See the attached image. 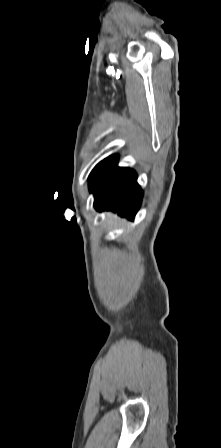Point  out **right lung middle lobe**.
I'll use <instances>...</instances> for the list:
<instances>
[{
  "mask_svg": "<svg viewBox=\"0 0 221 448\" xmlns=\"http://www.w3.org/2000/svg\"><path fill=\"white\" fill-rule=\"evenodd\" d=\"M102 162H100L94 169H93V171L91 172V174H90V176L89 177H91L92 176V174L94 173V171L98 168V166L101 164Z\"/></svg>",
  "mask_w": 221,
  "mask_h": 448,
  "instance_id": "dd1d6c3e",
  "label": "right lung middle lobe"
}]
</instances>
